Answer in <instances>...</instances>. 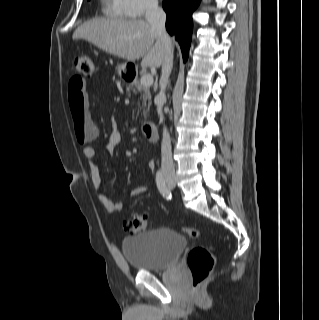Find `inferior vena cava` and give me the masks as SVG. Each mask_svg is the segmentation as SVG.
Here are the masks:
<instances>
[{
  "mask_svg": "<svg viewBox=\"0 0 319 320\" xmlns=\"http://www.w3.org/2000/svg\"><path fill=\"white\" fill-rule=\"evenodd\" d=\"M146 20L157 32L158 39L166 46V53L162 64V73L160 78V92L155 98L157 102V112L160 117V121L163 122L164 117L162 107L166 102L165 89L173 67V50L171 40L165 29L166 14L163 9L158 6L157 0H151L149 2L146 10ZM161 171L165 176L175 175L170 136L165 127L163 129V138L161 143Z\"/></svg>",
  "mask_w": 319,
  "mask_h": 320,
  "instance_id": "inferior-vena-cava-1",
  "label": "inferior vena cava"
}]
</instances>
